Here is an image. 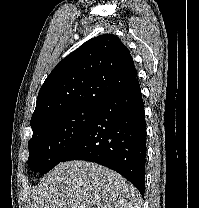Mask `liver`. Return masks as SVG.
<instances>
[{
  "instance_id": "liver-1",
  "label": "liver",
  "mask_w": 199,
  "mask_h": 208,
  "mask_svg": "<svg viewBox=\"0 0 199 208\" xmlns=\"http://www.w3.org/2000/svg\"><path fill=\"white\" fill-rule=\"evenodd\" d=\"M31 208H141L138 190L115 171L88 161L59 163L32 190Z\"/></svg>"
}]
</instances>
